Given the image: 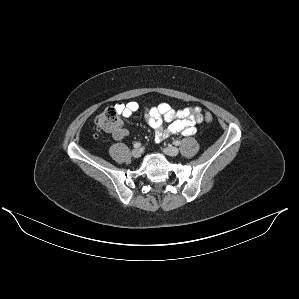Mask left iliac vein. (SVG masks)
<instances>
[{
  "instance_id": "1",
  "label": "left iliac vein",
  "mask_w": 299,
  "mask_h": 299,
  "mask_svg": "<svg viewBox=\"0 0 299 299\" xmlns=\"http://www.w3.org/2000/svg\"><path fill=\"white\" fill-rule=\"evenodd\" d=\"M163 152L169 156H177L179 153V150L176 147L168 146L163 149Z\"/></svg>"
}]
</instances>
